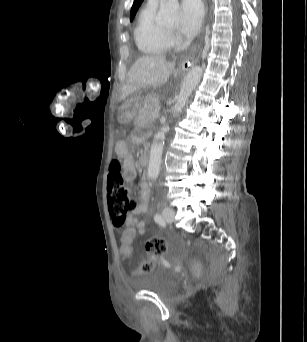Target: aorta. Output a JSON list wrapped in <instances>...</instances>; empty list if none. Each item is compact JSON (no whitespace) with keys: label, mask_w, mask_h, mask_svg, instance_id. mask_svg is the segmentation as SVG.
Wrapping results in <instances>:
<instances>
[{"label":"aorta","mask_w":307,"mask_h":342,"mask_svg":"<svg viewBox=\"0 0 307 342\" xmlns=\"http://www.w3.org/2000/svg\"><path fill=\"white\" fill-rule=\"evenodd\" d=\"M179 12L178 0H160L159 18L163 24H167V26H178V24H180ZM202 74L203 70L200 66H194V68L186 74L180 92L176 96V102L172 108V118H176V116L182 112L183 108H185V104L187 100H189L192 90H195V86L199 84ZM168 130L169 126H162L160 132H157L155 140H153L151 144L148 166V176H150V178H154V176L157 178V176H159L164 138Z\"/></svg>","instance_id":"1"}]
</instances>
